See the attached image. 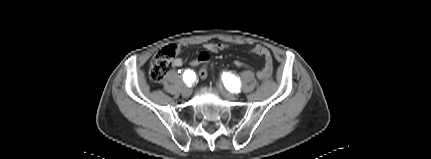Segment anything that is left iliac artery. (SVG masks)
I'll return each mask as SVG.
<instances>
[{
  "instance_id": "left-iliac-artery-1",
  "label": "left iliac artery",
  "mask_w": 431,
  "mask_h": 159,
  "mask_svg": "<svg viewBox=\"0 0 431 159\" xmlns=\"http://www.w3.org/2000/svg\"><path fill=\"white\" fill-rule=\"evenodd\" d=\"M222 80H223L225 87L230 92H236V93L240 92L241 82H240L239 78L235 77L234 75H232L230 73H224L222 76Z\"/></svg>"
}]
</instances>
